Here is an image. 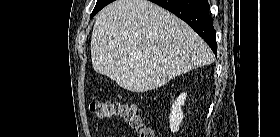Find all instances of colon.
<instances>
[{
	"label": "colon",
	"mask_w": 280,
	"mask_h": 137,
	"mask_svg": "<svg viewBox=\"0 0 280 137\" xmlns=\"http://www.w3.org/2000/svg\"><path fill=\"white\" fill-rule=\"evenodd\" d=\"M90 110L100 119L121 117L130 127L134 128L140 137H155L153 129L146 127L136 109L118 100H98L90 104Z\"/></svg>",
	"instance_id": "5ec220e1"
}]
</instances>
